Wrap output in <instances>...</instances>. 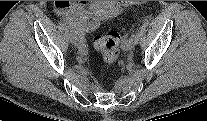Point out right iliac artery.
I'll use <instances>...</instances> for the list:
<instances>
[{
	"mask_svg": "<svg viewBox=\"0 0 207 121\" xmlns=\"http://www.w3.org/2000/svg\"><path fill=\"white\" fill-rule=\"evenodd\" d=\"M64 23L68 25V27L70 28V30L78 37V42H79V48H83L86 49V44H85V39L83 34L79 31V29L77 28V26L68 21L67 19H63Z\"/></svg>",
	"mask_w": 207,
	"mask_h": 121,
	"instance_id": "obj_1",
	"label": "right iliac artery"
}]
</instances>
